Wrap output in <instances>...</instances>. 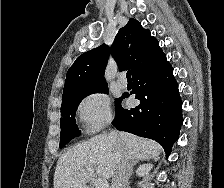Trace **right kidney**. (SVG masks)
Returning <instances> with one entry per match:
<instances>
[{"label": "right kidney", "mask_w": 224, "mask_h": 188, "mask_svg": "<svg viewBox=\"0 0 224 188\" xmlns=\"http://www.w3.org/2000/svg\"><path fill=\"white\" fill-rule=\"evenodd\" d=\"M152 167H153L152 164H144V165H141V166L137 169L136 174H137L139 177L148 175V173H149V171L152 169Z\"/></svg>", "instance_id": "1"}]
</instances>
